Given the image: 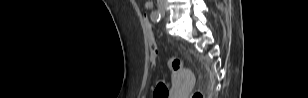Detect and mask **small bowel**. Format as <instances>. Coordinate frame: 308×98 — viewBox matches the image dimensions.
Returning <instances> with one entry per match:
<instances>
[{"label":"small bowel","mask_w":308,"mask_h":98,"mask_svg":"<svg viewBox=\"0 0 308 98\" xmlns=\"http://www.w3.org/2000/svg\"><path fill=\"white\" fill-rule=\"evenodd\" d=\"M144 6H145L146 9H150L153 6V2L152 1H145Z\"/></svg>","instance_id":"1"}]
</instances>
